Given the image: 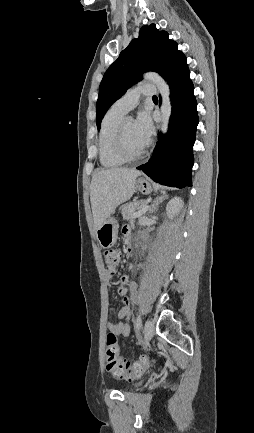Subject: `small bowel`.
Instances as JSON below:
<instances>
[{"label": "small bowel", "mask_w": 254, "mask_h": 433, "mask_svg": "<svg viewBox=\"0 0 254 433\" xmlns=\"http://www.w3.org/2000/svg\"><path fill=\"white\" fill-rule=\"evenodd\" d=\"M123 235L126 241L128 240V238L131 237V231L128 226H125L123 228ZM111 277L112 275L110 274L106 275V279L108 282ZM128 282H129V277L127 275L121 277L120 285L117 291H118V295L123 298V305L117 312L116 321L114 322L109 321L106 323V328L109 332L114 333L115 335H122L123 337H128L130 335V327L126 322L129 319L131 313L129 301L126 297L128 292V288H127Z\"/></svg>", "instance_id": "obj_1"}]
</instances>
